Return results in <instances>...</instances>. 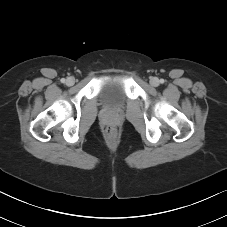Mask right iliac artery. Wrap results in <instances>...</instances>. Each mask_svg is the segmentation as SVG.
Listing matches in <instances>:
<instances>
[{
  "mask_svg": "<svg viewBox=\"0 0 227 227\" xmlns=\"http://www.w3.org/2000/svg\"><path fill=\"white\" fill-rule=\"evenodd\" d=\"M65 81H66V80H65L64 78L61 79V82H62V83H65Z\"/></svg>",
  "mask_w": 227,
  "mask_h": 227,
  "instance_id": "obj_1",
  "label": "right iliac artery"
}]
</instances>
